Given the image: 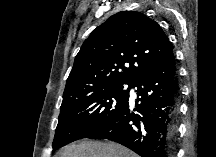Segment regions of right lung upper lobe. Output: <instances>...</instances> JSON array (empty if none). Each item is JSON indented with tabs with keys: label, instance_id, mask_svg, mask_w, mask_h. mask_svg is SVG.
<instances>
[{
	"label": "right lung upper lobe",
	"instance_id": "right-lung-upper-lobe-1",
	"mask_svg": "<svg viewBox=\"0 0 216 157\" xmlns=\"http://www.w3.org/2000/svg\"><path fill=\"white\" fill-rule=\"evenodd\" d=\"M173 46L157 22L136 11L112 15L75 57L62 105L84 92L128 84L163 61Z\"/></svg>",
	"mask_w": 216,
	"mask_h": 157
}]
</instances>
